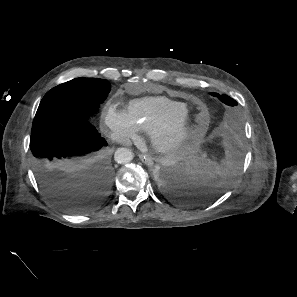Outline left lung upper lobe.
<instances>
[{"instance_id":"obj_1","label":"left lung upper lobe","mask_w":297,"mask_h":297,"mask_svg":"<svg viewBox=\"0 0 297 297\" xmlns=\"http://www.w3.org/2000/svg\"><path fill=\"white\" fill-rule=\"evenodd\" d=\"M211 95L214 97H217L220 101H222L228 106H231V107L237 106V102L227 95H219L218 93H212ZM232 120H234V115L229 114L225 120V124L230 125Z\"/></svg>"}]
</instances>
